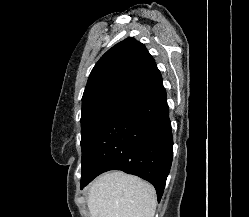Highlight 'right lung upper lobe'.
<instances>
[{
  "instance_id": "cb5924a9",
  "label": "right lung upper lobe",
  "mask_w": 249,
  "mask_h": 217,
  "mask_svg": "<svg viewBox=\"0 0 249 217\" xmlns=\"http://www.w3.org/2000/svg\"><path fill=\"white\" fill-rule=\"evenodd\" d=\"M156 67L146 47L127 38L110 48L96 63L82 97L85 102L105 92H126Z\"/></svg>"
}]
</instances>
